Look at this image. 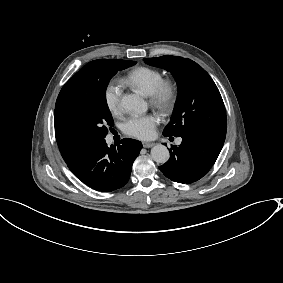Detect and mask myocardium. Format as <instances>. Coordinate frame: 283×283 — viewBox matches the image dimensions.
I'll return each instance as SVG.
<instances>
[{"mask_svg":"<svg viewBox=\"0 0 283 283\" xmlns=\"http://www.w3.org/2000/svg\"><path fill=\"white\" fill-rule=\"evenodd\" d=\"M177 92L174 83L170 80H162L149 94V102L157 109L168 112L176 101Z\"/></svg>","mask_w":283,"mask_h":283,"instance_id":"myocardium-1","label":"myocardium"}]
</instances>
